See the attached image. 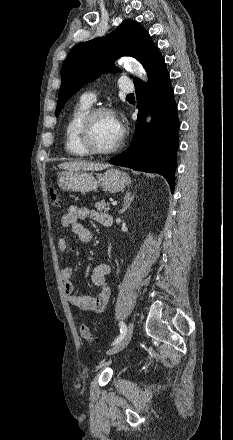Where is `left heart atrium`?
<instances>
[{
  "label": "left heart atrium",
  "mask_w": 233,
  "mask_h": 440,
  "mask_svg": "<svg viewBox=\"0 0 233 440\" xmlns=\"http://www.w3.org/2000/svg\"><path fill=\"white\" fill-rule=\"evenodd\" d=\"M117 125L121 128V125L118 120H116Z\"/></svg>",
  "instance_id": "1"
}]
</instances>
